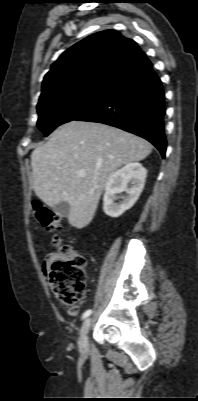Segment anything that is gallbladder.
I'll list each match as a JSON object with an SVG mask.
<instances>
[{
  "mask_svg": "<svg viewBox=\"0 0 198 401\" xmlns=\"http://www.w3.org/2000/svg\"><path fill=\"white\" fill-rule=\"evenodd\" d=\"M53 210L61 217H67L69 214L70 206L67 202L62 201L53 206Z\"/></svg>",
  "mask_w": 198,
  "mask_h": 401,
  "instance_id": "gallbladder-1",
  "label": "gallbladder"
}]
</instances>
